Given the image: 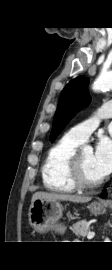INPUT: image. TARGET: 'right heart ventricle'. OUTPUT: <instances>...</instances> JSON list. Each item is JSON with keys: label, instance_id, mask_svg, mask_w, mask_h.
Returning <instances> with one entry per match:
<instances>
[{"label": "right heart ventricle", "instance_id": "e07e8e85", "mask_svg": "<svg viewBox=\"0 0 112 270\" xmlns=\"http://www.w3.org/2000/svg\"><path fill=\"white\" fill-rule=\"evenodd\" d=\"M80 144L81 142L67 133L49 149L41 171L42 181L47 190L60 194L75 191L76 188L66 174V163Z\"/></svg>", "mask_w": 112, "mask_h": 270}]
</instances>
